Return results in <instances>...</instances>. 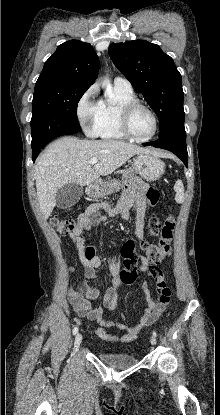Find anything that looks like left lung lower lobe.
Wrapping results in <instances>:
<instances>
[{
  "instance_id": "1",
  "label": "left lung lower lobe",
  "mask_w": 220,
  "mask_h": 415,
  "mask_svg": "<svg viewBox=\"0 0 220 415\" xmlns=\"http://www.w3.org/2000/svg\"><path fill=\"white\" fill-rule=\"evenodd\" d=\"M144 146H154L157 148H162L173 152L180 158L186 167H188V153L186 146V132L184 125L178 128H175L168 134L160 137L156 141L147 142L143 144Z\"/></svg>"
}]
</instances>
